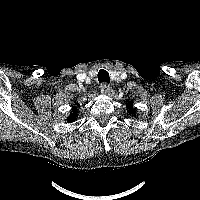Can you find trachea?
Returning <instances> with one entry per match:
<instances>
[{"mask_svg": "<svg viewBox=\"0 0 200 200\" xmlns=\"http://www.w3.org/2000/svg\"><path fill=\"white\" fill-rule=\"evenodd\" d=\"M98 81L99 83H102V82L109 83V73L106 70L101 69L98 72Z\"/></svg>", "mask_w": 200, "mask_h": 200, "instance_id": "3493384b", "label": "trachea"}]
</instances>
